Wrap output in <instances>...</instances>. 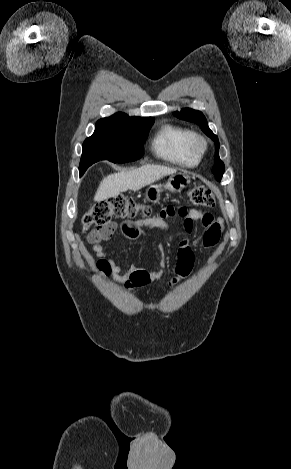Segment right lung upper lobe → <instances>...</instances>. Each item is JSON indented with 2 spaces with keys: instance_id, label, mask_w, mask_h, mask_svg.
I'll return each mask as SVG.
<instances>
[{
  "instance_id": "cb5924a9",
  "label": "right lung upper lobe",
  "mask_w": 291,
  "mask_h": 469,
  "mask_svg": "<svg viewBox=\"0 0 291 469\" xmlns=\"http://www.w3.org/2000/svg\"><path fill=\"white\" fill-rule=\"evenodd\" d=\"M138 119H146L141 117H129L127 114L118 112L110 117H106L100 120H138Z\"/></svg>"
}]
</instances>
